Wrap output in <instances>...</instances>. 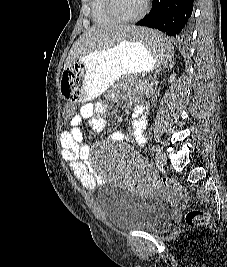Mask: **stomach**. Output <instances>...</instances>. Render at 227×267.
Masks as SVG:
<instances>
[{"mask_svg": "<svg viewBox=\"0 0 227 267\" xmlns=\"http://www.w3.org/2000/svg\"><path fill=\"white\" fill-rule=\"evenodd\" d=\"M159 64L148 47L123 40L67 64L59 82L61 100L65 104H83L105 92L121 77L150 72Z\"/></svg>", "mask_w": 227, "mask_h": 267, "instance_id": "stomach-1", "label": "stomach"}]
</instances>
